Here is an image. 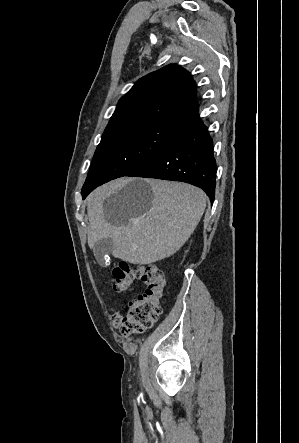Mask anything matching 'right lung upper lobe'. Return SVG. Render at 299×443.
Here are the masks:
<instances>
[{"label": "right lung upper lobe", "instance_id": "right-lung-upper-lobe-1", "mask_svg": "<svg viewBox=\"0 0 299 443\" xmlns=\"http://www.w3.org/2000/svg\"><path fill=\"white\" fill-rule=\"evenodd\" d=\"M198 110L196 85L179 65H168L139 79L123 96L104 134L146 119L183 121Z\"/></svg>", "mask_w": 299, "mask_h": 443}]
</instances>
